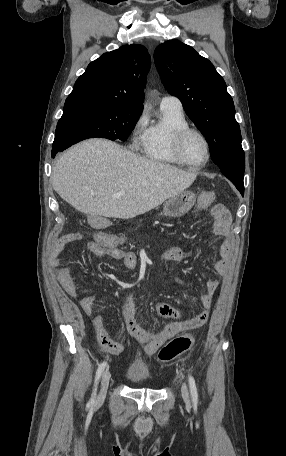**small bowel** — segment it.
<instances>
[{"instance_id": "c3829d8e", "label": "small bowel", "mask_w": 286, "mask_h": 456, "mask_svg": "<svg viewBox=\"0 0 286 456\" xmlns=\"http://www.w3.org/2000/svg\"><path fill=\"white\" fill-rule=\"evenodd\" d=\"M202 208L204 207L199 205L197 209ZM212 215L215 219L214 233L222 238V243L218 250V258L213 262V268L218 274L224 276L229 273L232 260L231 218L224 205L220 203L212 207ZM72 234L60 237L54 244L50 258V264L52 266H59L61 255L64 253L66 247L80 239V237L73 239ZM104 238H109L110 241L106 242ZM123 243V236L95 232L92 234L91 240L85 244V247L90 254L96 257L122 261L125 267L134 270L137 267L138 258L133 252L122 249L121 245ZM188 255L187 252L180 248H170L162 253V258L166 261L181 262ZM57 278L62 289L68 296L77 297V287L69 267H60L57 271ZM218 287V281H206V291L198 298L203 311L191 318H183L182 314L172 306L163 302H157L155 311L158 316L166 320L164 328L157 332L147 331L138 324L135 318L134 294L132 291H128L122 300V315L126 329L135 340L143 344L145 353L152 354L176 334L200 328L207 322L213 295ZM95 299V293H88L79 300V307L87 317H91L92 315ZM92 322L96 330V340L99 345L107 352L113 355H119L124 347L121 343L114 341L110 337L103 316L96 314L93 316Z\"/></svg>"}]
</instances>
